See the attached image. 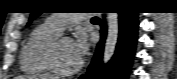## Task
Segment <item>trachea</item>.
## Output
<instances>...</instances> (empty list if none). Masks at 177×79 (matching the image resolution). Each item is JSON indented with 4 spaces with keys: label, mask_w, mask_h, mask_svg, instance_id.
Wrapping results in <instances>:
<instances>
[{
    "label": "trachea",
    "mask_w": 177,
    "mask_h": 79,
    "mask_svg": "<svg viewBox=\"0 0 177 79\" xmlns=\"http://www.w3.org/2000/svg\"><path fill=\"white\" fill-rule=\"evenodd\" d=\"M97 20H99L98 17H93V18H92V21H97Z\"/></svg>",
    "instance_id": "1"
}]
</instances>
